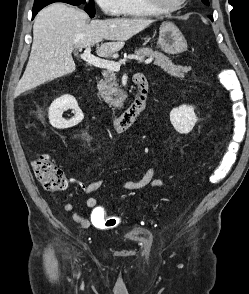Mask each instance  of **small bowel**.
Listing matches in <instances>:
<instances>
[{
    "label": "small bowel",
    "instance_id": "obj_1",
    "mask_svg": "<svg viewBox=\"0 0 249 294\" xmlns=\"http://www.w3.org/2000/svg\"><path fill=\"white\" fill-rule=\"evenodd\" d=\"M154 174L155 167L151 166L140 179L135 181H124L120 184V188L125 191H136L147 186L152 188L165 187L166 183L161 179L155 178ZM101 187L102 183L100 181L92 182L84 187V192L86 194H91L99 190ZM86 206L91 209L89 218L79 214L74 205L71 203L63 204L62 208L65 212L71 214L72 219L83 229H87L91 226L98 229H110L116 227L119 224V219L117 217L107 215L95 197H89L86 200Z\"/></svg>",
    "mask_w": 249,
    "mask_h": 294
}]
</instances>
